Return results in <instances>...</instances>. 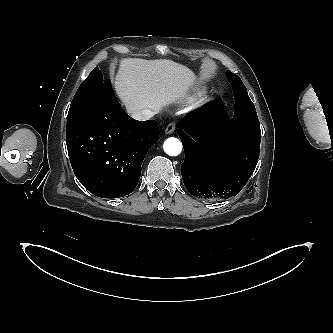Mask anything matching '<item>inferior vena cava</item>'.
Masks as SVG:
<instances>
[{"mask_svg": "<svg viewBox=\"0 0 333 333\" xmlns=\"http://www.w3.org/2000/svg\"><path fill=\"white\" fill-rule=\"evenodd\" d=\"M155 112H153L150 109H143L141 111L134 112L132 114V117L139 121H144L152 118L154 116Z\"/></svg>", "mask_w": 333, "mask_h": 333, "instance_id": "1", "label": "inferior vena cava"}]
</instances>
